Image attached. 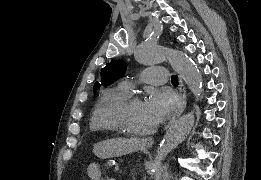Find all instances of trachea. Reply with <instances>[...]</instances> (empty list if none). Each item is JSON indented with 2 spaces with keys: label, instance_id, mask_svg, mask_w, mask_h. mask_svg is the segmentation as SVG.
<instances>
[{
  "label": "trachea",
  "instance_id": "3493384b",
  "mask_svg": "<svg viewBox=\"0 0 261 180\" xmlns=\"http://www.w3.org/2000/svg\"><path fill=\"white\" fill-rule=\"evenodd\" d=\"M171 83H173V84H178V77H177V75H172V77H171Z\"/></svg>",
  "mask_w": 261,
  "mask_h": 180
}]
</instances>
